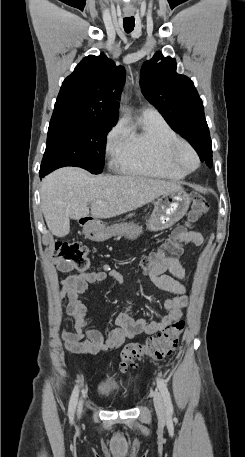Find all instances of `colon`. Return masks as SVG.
I'll return each mask as SVG.
<instances>
[{"instance_id":"1","label":"colon","mask_w":245,"mask_h":457,"mask_svg":"<svg viewBox=\"0 0 245 457\" xmlns=\"http://www.w3.org/2000/svg\"><path fill=\"white\" fill-rule=\"evenodd\" d=\"M208 210L207 200L199 193L192 195L191 218L193 220L202 216ZM181 230L166 239L155 251L145 256L140 263L144 272L151 271L160 262L175 258L182 250L180 242ZM54 257L72 263L77 269L85 271L89 268L88 250L82 244L75 241H57L55 243ZM185 322L177 320L165 329L151 336L144 342H131L126 344L119 354V367L127 371L134 366V360L149 357L160 360L170 355L178 346L180 337L184 331Z\"/></svg>"}]
</instances>
